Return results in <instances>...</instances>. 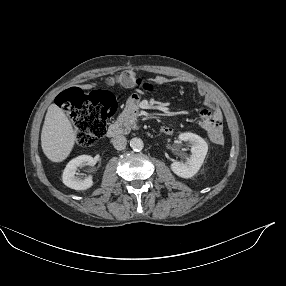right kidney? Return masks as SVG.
<instances>
[{"label":"right kidney","instance_id":"1","mask_svg":"<svg viewBox=\"0 0 286 286\" xmlns=\"http://www.w3.org/2000/svg\"><path fill=\"white\" fill-rule=\"evenodd\" d=\"M94 165L93 157L89 155H81L72 159L65 167L62 181L63 183L75 190H86L93 185L91 176H87L83 179L76 177V170L79 166H92Z\"/></svg>","mask_w":286,"mask_h":286}]
</instances>
